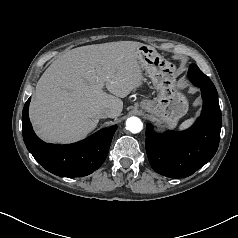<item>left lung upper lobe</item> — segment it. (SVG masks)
Returning a JSON list of instances; mask_svg holds the SVG:
<instances>
[{"instance_id": "left-lung-upper-lobe-1", "label": "left lung upper lobe", "mask_w": 238, "mask_h": 238, "mask_svg": "<svg viewBox=\"0 0 238 238\" xmlns=\"http://www.w3.org/2000/svg\"><path fill=\"white\" fill-rule=\"evenodd\" d=\"M189 72L193 73L195 72L196 74H200V75H204L206 80L205 83H208V87H210V89L212 90H216L215 86L213 85V83L211 82V80L208 78V76H206L199 68L197 65L193 64L190 66L189 68Z\"/></svg>"}]
</instances>
